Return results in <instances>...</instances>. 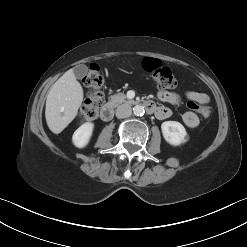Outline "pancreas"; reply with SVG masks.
I'll return each mask as SVG.
<instances>
[{
  "label": "pancreas",
  "instance_id": "cf45deb5",
  "mask_svg": "<svg viewBox=\"0 0 247 247\" xmlns=\"http://www.w3.org/2000/svg\"><path fill=\"white\" fill-rule=\"evenodd\" d=\"M110 102L114 105V106H118L121 103H133L134 101L132 100H127V97L125 94L123 93H118L115 94L113 96L110 97Z\"/></svg>",
  "mask_w": 247,
  "mask_h": 247
}]
</instances>
